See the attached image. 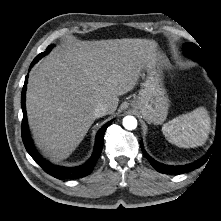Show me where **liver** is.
<instances>
[{
    "label": "liver",
    "instance_id": "liver-1",
    "mask_svg": "<svg viewBox=\"0 0 221 221\" xmlns=\"http://www.w3.org/2000/svg\"><path fill=\"white\" fill-rule=\"evenodd\" d=\"M146 39L68 42L36 64L26 92L28 123L35 143L52 161L67 158L95 121L94 108L113 114L118 96L134 89L141 71L159 60Z\"/></svg>",
    "mask_w": 221,
    "mask_h": 221
}]
</instances>
